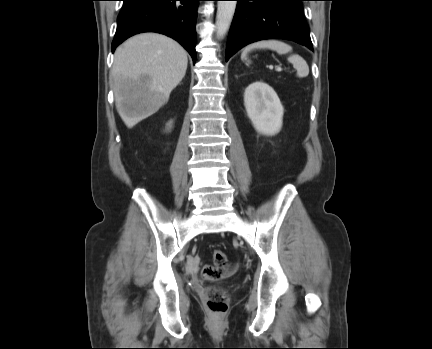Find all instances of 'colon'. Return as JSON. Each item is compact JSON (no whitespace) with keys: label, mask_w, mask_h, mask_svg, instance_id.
Returning a JSON list of instances; mask_svg holds the SVG:
<instances>
[{"label":"colon","mask_w":432,"mask_h":349,"mask_svg":"<svg viewBox=\"0 0 432 349\" xmlns=\"http://www.w3.org/2000/svg\"><path fill=\"white\" fill-rule=\"evenodd\" d=\"M212 259L216 268L224 269L229 266L227 257L221 250H214ZM207 298L208 306L214 314L221 315L227 310L229 299L224 292L210 289L207 291Z\"/></svg>","instance_id":"colon-1"}]
</instances>
